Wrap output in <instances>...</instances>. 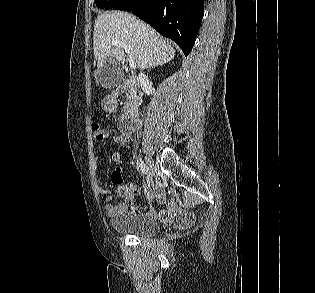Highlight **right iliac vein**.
I'll return each instance as SVG.
<instances>
[{"label": "right iliac vein", "instance_id": "right-iliac-vein-1", "mask_svg": "<svg viewBox=\"0 0 315 293\" xmlns=\"http://www.w3.org/2000/svg\"><path fill=\"white\" fill-rule=\"evenodd\" d=\"M146 164H147V169H148V173H149V185L152 186L153 185V179L157 174V170H156V167H155L153 161L149 157L146 158Z\"/></svg>", "mask_w": 315, "mask_h": 293}]
</instances>
